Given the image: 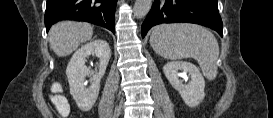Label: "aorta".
Masks as SVG:
<instances>
[{"instance_id":"1","label":"aorta","mask_w":273,"mask_h":118,"mask_svg":"<svg viewBox=\"0 0 273 118\" xmlns=\"http://www.w3.org/2000/svg\"><path fill=\"white\" fill-rule=\"evenodd\" d=\"M151 0H136L133 8L134 16L138 19L144 18L151 9Z\"/></svg>"}]
</instances>
